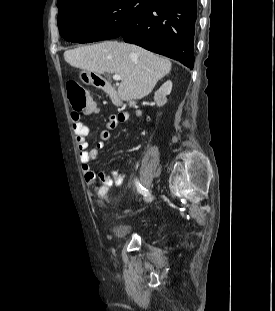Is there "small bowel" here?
Segmentation results:
<instances>
[{
	"instance_id": "1",
	"label": "small bowel",
	"mask_w": 275,
	"mask_h": 311,
	"mask_svg": "<svg viewBox=\"0 0 275 311\" xmlns=\"http://www.w3.org/2000/svg\"><path fill=\"white\" fill-rule=\"evenodd\" d=\"M71 116L73 120V129L79 152L81 169L86 183L93 191L100 190V183L121 185L124 180L118 172L112 171L109 175H107L104 171L96 172L90 166V163L97 159L99 151L105 147L110 137V130L116 128L121 122L126 121L130 117V113L128 111H123L116 115H112L107 122V129L101 132L99 140L96 142L94 148H89L87 141L89 130L88 127L81 121L80 114L78 112H73ZM132 116L136 119H140L142 117V111L135 110L132 112Z\"/></svg>"
}]
</instances>
